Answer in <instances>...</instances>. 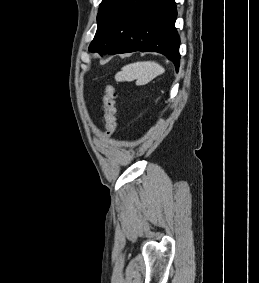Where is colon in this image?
<instances>
[{"label": "colon", "mask_w": 259, "mask_h": 283, "mask_svg": "<svg viewBox=\"0 0 259 283\" xmlns=\"http://www.w3.org/2000/svg\"><path fill=\"white\" fill-rule=\"evenodd\" d=\"M105 134L109 135L117 126L116 90L108 84L104 88Z\"/></svg>", "instance_id": "colon-1"}]
</instances>
